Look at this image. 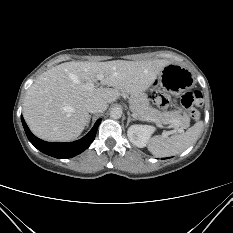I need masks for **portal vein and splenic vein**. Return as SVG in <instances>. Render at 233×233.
<instances>
[{
    "label": "portal vein and splenic vein",
    "instance_id": "1",
    "mask_svg": "<svg viewBox=\"0 0 233 233\" xmlns=\"http://www.w3.org/2000/svg\"><path fill=\"white\" fill-rule=\"evenodd\" d=\"M98 79H99V80H102V79H103V76H102V75H98ZM92 87H93V86H92ZM153 122H156V123H157V121H153ZM174 124H175L176 126H178V125H179V122H178V121H175ZM177 131H178V132H183V129L180 128V129H178ZM177 131H176V130L167 131V132L164 134V137L168 136L169 134L176 133Z\"/></svg>",
    "mask_w": 233,
    "mask_h": 233
}]
</instances>
